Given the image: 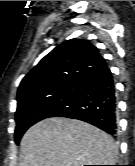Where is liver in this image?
Masks as SVG:
<instances>
[{
	"label": "liver",
	"instance_id": "liver-1",
	"mask_svg": "<svg viewBox=\"0 0 135 166\" xmlns=\"http://www.w3.org/2000/svg\"><path fill=\"white\" fill-rule=\"evenodd\" d=\"M19 166L112 165L117 146L112 137L86 122L53 117L24 134Z\"/></svg>",
	"mask_w": 135,
	"mask_h": 166
}]
</instances>
